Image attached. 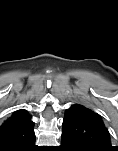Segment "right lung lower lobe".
I'll use <instances>...</instances> for the list:
<instances>
[{
	"mask_svg": "<svg viewBox=\"0 0 118 151\" xmlns=\"http://www.w3.org/2000/svg\"><path fill=\"white\" fill-rule=\"evenodd\" d=\"M37 147L34 145V143L32 145H30L29 147L23 149L22 151H35Z\"/></svg>",
	"mask_w": 118,
	"mask_h": 151,
	"instance_id": "obj_1",
	"label": "right lung lower lobe"
}]
</instances>
